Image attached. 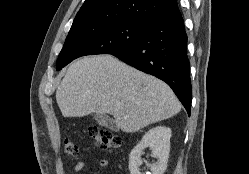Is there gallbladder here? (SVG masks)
Wrapping results in <instances>:
<instances>
[{"instance_id": "bac80fb5", "label": "gallbladder", "mask_w": 249, "mask_h": 174, "mask_svg": "<svg viewBox=\"0 0 249 174\" xmlns=\"http://www.w3.org/2000/svg\"><path fill=\"white\" fill-rule=\"evenodd\" d=\"M94 119L99 125L108 127L109 129H111L113 131H118V127H117L116 123L108 115L95 114Z\"/></svg>"}]
</instances>
